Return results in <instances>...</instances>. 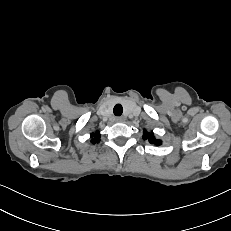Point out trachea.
<instances>
[{"mask_svg":"<svg viewBox=\"0 0 231 231\" xmlns=\"http://www.w3.org/2000/svg\"><path fill=\"white\" fill-rule=\"evenodd\" d=\"M113 112L116 116H120L123 113V107L121 104H116L114 106Z\"/></svg>","mask_w":231,"mask_h":231,"instance_id":"trachea-1","label":"trachea"}]
</instances>
